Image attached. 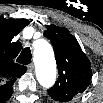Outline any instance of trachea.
Wrapping results in <instances>:
<instances>
[{
    "mask_svg": "<svg viewBox=\"0 0 103 103\" xmlns=\"http://www.w3.org/2000/svg\"><path fill=\"white\" fill-rule=\"evenodd\" d=\"M31 58L32 55L30 48H24L19 57L17 58V62L23 65H28L31 63Z\"/></svg>",
    "mask_w": 103,
    "mask_h": 103,
    "instance_id": "3493384b",
    "label": "trachea"
}]
</instances>
